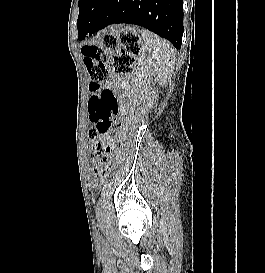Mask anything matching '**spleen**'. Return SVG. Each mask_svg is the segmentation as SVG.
I'll return each mask as SVG.
<instances>
[{"label": "spleen", "instance_id": "1", "mask_svg": "<svg viewBox=\"0 0 265 273\" xmlns=\"http://www.w3.org/2000/svg\"><path fill=\"white\" fill-rule=\"evenodd\" d=\"M144 40V48L151 54L148 62L151 70L160 84H165L170 77L175 63V52L171 44L148 30L140 31Z\"/></svg>", "mask_w": 265, "mask_h": 273}]
</instances>
